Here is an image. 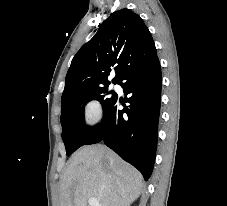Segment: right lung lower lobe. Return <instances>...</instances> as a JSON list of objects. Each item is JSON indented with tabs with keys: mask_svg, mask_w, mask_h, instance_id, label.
Returning a JSON list of instances; mask_svg holds the SVG:
<instances>
[{
	"mask_svg": "<svg viewBox=\"0 0 227 206\" xmlns=\"http://www.w3.org/2000/svg\"><path fill=\"white\" fill-rule=\"evenodd\" d=\"M161 68L156 56L149 63L132 68L119 85L129 108L119 110L118 98L105 111L97 131L85 145L100 141L136 167L148 180L152 173L158 133L161 98Z\"/></svg>",
	"mask_w": 227,
	"mask_h": 206,
	"instance_id": "1",
	"label": "right lung lower lobe"
}]
</instances>
